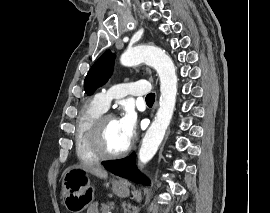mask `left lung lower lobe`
I'll return each mask as SVG.
<instances>
[{
	"mask_svg": "<svg viewBox=\"0 0 270 213\" xmlns=\"http://www.w3.org/2000/svg\"><path fill=\"white\" fill-rule=\"evenodd\" d=\"M135 154L132 153L129 157L116 160L109 165H105V168L115 175L129 178L133 182L142 183L149 185L148 179L141 176L140 173L135 169Z\"/></svg>",
	"mask_w": 270,
	"mask_h": 213,
	"instance_id": "0a47b994",
	"label": "left lung lower lobe"
}]
</instances>
